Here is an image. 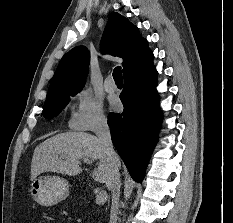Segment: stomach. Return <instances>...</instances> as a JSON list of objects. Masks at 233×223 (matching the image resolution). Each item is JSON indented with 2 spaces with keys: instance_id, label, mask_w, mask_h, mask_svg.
<instances>
[{
  "instance_id": "obj_1",
  "label": "stomach",
  "mask_w": 233,
  "mask_h": 223,
  "mask_svg": "<svg viewBox=\"0 0 233 223\" xmlns=\"http://www.w3.org/2000/svg\"><path fill=\"white\" fill-rule=\"evenodd\" d=\"M30 193L39 205H56L70 195L69 181L60 175H40L32 179Z\"/></svg>"
}]
</instances>
